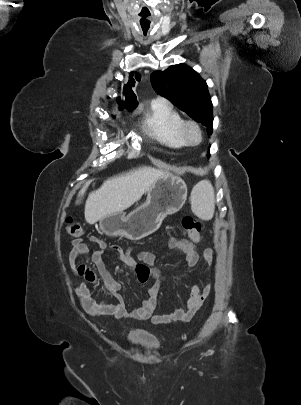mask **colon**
Returning <instances> with one entry per match:
<instances>
[{
  "instance_id": "5ec220e1",
  "label": "colon",
  "mask_w": 301,
  "mask_h": 405,
  "mask_svg": "<svg viewBox=\"0 0 301 405\" xmlns=\"http://www.w3.org/2000/svg\"><path fill=\"white\" fill-rule=\"evenodd\" d=\"M181 224L189 237V239L185 240H189L194 246H197L202 240L200 237L201 223L192 217L186 216L182 218ZM66 231L69 235L74 237H80L84 233L80 223L70 217L66 219ZM84 305L90 312L94 313L101 312L106 307L104 303L97 301L92 296L86 299Z\"/></svg>"
}]
</instances>
